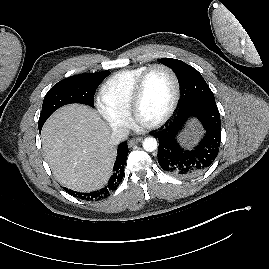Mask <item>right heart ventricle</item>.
<instances>
[{
    "instance_id": "obj_1",
    "label": "right heart ventricle",
    "mask_w": 269,
    "mask_h": 269,
    "mask_svg": "<svg viewBox=\"0 0 269 269\" xmlns=\"http://www.w3.org/2000/svg\"><path fill=\"white\" fill-rule=\"evenodd\" d=\"M148 66L121 70L109 77L101 87V99L111 108L130 113V101L139 76Z\"/></svg>"
}]
</instances>
